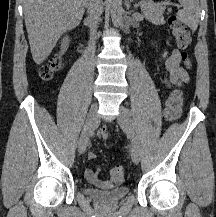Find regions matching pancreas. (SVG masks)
Returning <instances> with one entry per match:
<instances>
[{
  "label": "pancreas",
  "mask_w": 216,
  "mask_h": 217,
  "mask_svg": "<svg viewBox=\"0 0 216 217\" xmlns=\"http://www.w3.org/2000/svg\"><path fill=\"white\" fill-rule=\"evenodd\" d=\"M141 11L143 12L145 18L155 24L162 25L164 24V10L165 7L153 3L152 0L144 1L140 4Z\"/></svg>",
  "instance_id": "obj_1"
}]
</instances>
